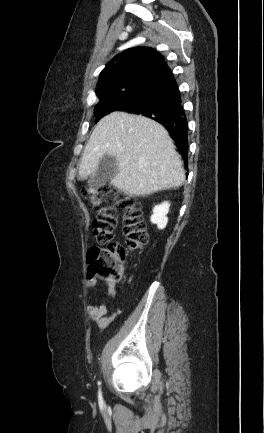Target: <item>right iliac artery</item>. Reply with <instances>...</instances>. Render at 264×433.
Wrapping results in <instances>:
<instances>
[{"mask_svg": "<svg viewBox=\"0 0 264 433\" xmlns=\"http://www.w3.org/2000/svg\"><path fill=\"white\" fill-rule=\"evenodd\" d=\"M98 384L100 385V382H98ZM99 397L101 398V390L99 389Z\"/></svg>", "mask_w": 264, "mask_h": 433, "instance_id": "obj_1", "label": "right iliac artery"}]
</instances>
